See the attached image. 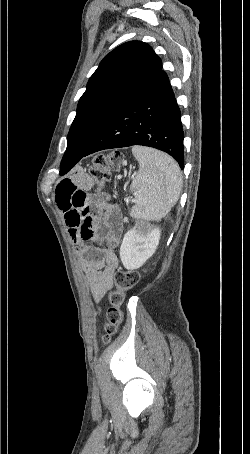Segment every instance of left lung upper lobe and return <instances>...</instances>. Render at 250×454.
I'll use <instances>...</instances> for the list:
<instances>
[{"label":"left lung upper lobe","instance_id":"left-lung-upper-lobe-1","mask_svg":"<svg viewBox=\"0 0 250 454\" xmlns=\"http://www.w3.org/2000/svg\"><path fill=\"white\" fill-rule=\"evenodd\" d=\"M162 70L146 43L126 42L100 62L81 96L65 153L84 154L106 121Z\"/></svg>","mask_w":250,"mask_h":454}]
</instances>
